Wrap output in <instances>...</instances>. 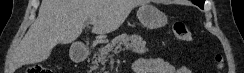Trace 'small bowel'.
I'll list each match as a JSON object with an SVG mask.
<instances>
[{
    "instance_id": "c3829d8e",
    "label": "small bowel",
    "mask_w": 244,
    "mask_h": 73,
    "mask_svg": "<svg viewBox=\"0 0 244 73\" xmlns=\"http://www.w3.org/2000/svg\"><path fill=\"white\" fill-rule=\"evenodd\" d=\"M135 73H191L186 66L175 68L161 58H142L133 64Z\"/></svg>"
}]
</instances>
